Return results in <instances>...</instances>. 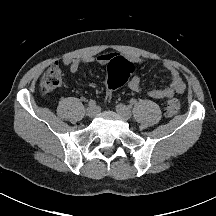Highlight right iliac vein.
<instances>
[{"label": "right iliac vein", "instance_id": "obj_1", "mask_svg": "<svg viewBox=\"0 0 216 216\" xmlns=\"http://www.w3.org/2000/svg\"><path fill=\"white\" fill-rule=\"evenodd\" d=\"M98 109L96 106H89L86 110V115L90 118H93L97 115Z\"/></svg>", "mask_w": 216, "mask_h": 216}]
</instances>
